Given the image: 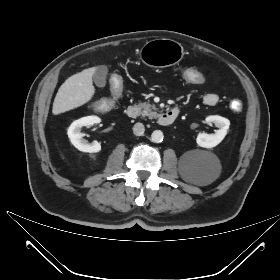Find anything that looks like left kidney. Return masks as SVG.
Segmentation results:
<instances>
[{
  "instance_id": "left-kidney-1",
  "label": "left kidney",
  "mask_w": 280,
  "mask_h": 280,
  "mask_svg": "<svg viewBox=\"0 0 280 280\" xmlns=\"http://www.w3.org/2000/svg\"><path fill=\"white\" fill-rule=\"evenodd\" d=\"M205 120L208 123L213 122L219 130H216L215 133L212 134L199 133L196 142L200 147L213 148L225 138L230 126V121L219 115H210L206 117Z\"/></svg>"
}]
</instances>
